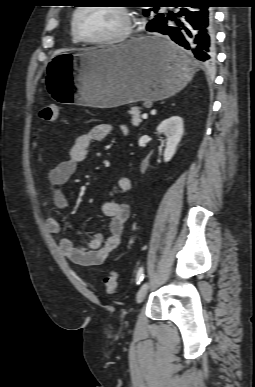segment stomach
I'll list each match as a JSON object with an SVG mask.
<instances>
[{
	"label": "stomach",
	"instance_id": "1",
	"mask_svg": "<svg viewBox=\"0 0 255 387\" xmlns=\"http://www.w3.org/2000/svg\"><path fill=\"white\" fill-rule=\"evenodd\" d=\"M165 57L151 37H138L107 49L55 55L45 83L55 104L68 108H111L137 101L165 99L192 79L194 67Z\"/></svg>",
	"mask_w": 255,
	"mask_h": 387
}]
</instances>
